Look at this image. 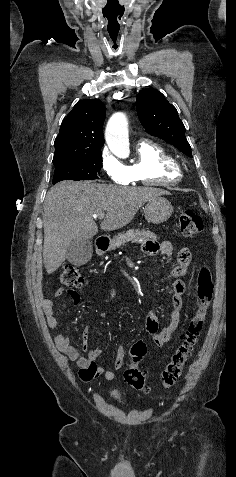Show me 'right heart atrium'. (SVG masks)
Wrapping results in <instances>:
<instances>
[{
	"label": "right heart atrium",
	"instance_id": "right-heart-atrium-1",
	"mask_svg": "<svg viewBox=\"0 0 236 477\" xmlns=\"http://www.w3.org/2000/svg\"><path fill=\"white\" fill-rule=\"evenodd\" d=\"M101 165L103 171L113 182L121 185H127L130 182L127 166L120 162L108 148H104L102 151Z\"/></svg>",
	"mask_w": 236,
	"mask_h": 477
}]
</instances>
